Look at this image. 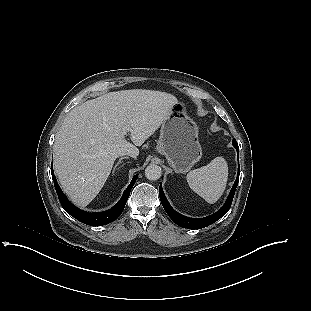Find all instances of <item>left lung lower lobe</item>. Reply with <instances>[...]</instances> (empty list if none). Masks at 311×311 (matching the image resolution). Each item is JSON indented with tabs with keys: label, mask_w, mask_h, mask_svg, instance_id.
<instances>
[{
	"label": "left lung lower lobe",
	"mask_w": 311,
	"mask_h": 311,
	"mask_svg": "<svg viewBox=\"0 0 311 311\" xmlns=\"http://www.w3.org/2000/svg\"><path fill=\"white\" fill-rule=\"evenodd\" d=\"M233 146L236 148L237 152H239V147L238 144L236 143V140H233ZM239 161V160H238ZM240 170H238V176L237 179L230 191V194L225 202V204L223 205V207L216 213L204 217V218H189L186 216H183L181 214H179L178 212H176L168 203L164 192L162 190V185L160 184L159 187V196H160V200L161 203L163 205V208L165 209L166 213L169 215V217L179 226L183 227V228H189V229H200V228H204L206 226H209L211 224H213L214 222H216L218 219H220L221 217H223L227 211L230 209L233 197H234V193L236 190V187L238 185V180H239V173Z\"/></svg>",
	"instance_id": "obj_1"
}]
</instances>
